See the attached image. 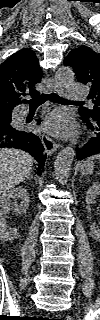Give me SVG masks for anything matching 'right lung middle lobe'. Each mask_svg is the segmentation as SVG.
<instances>
[{"instance_id": "dd1d6c3e", "label": "right lung middle lobe", "mask_w": 100, "mask_h": 320, "mask_svg": "<svg viewBox=\"0 0 100 320\" xmlns=\"http://www.w3.org/2000/svg\"><path fill=\"white\" fill-rule=\"evenodd\" d=\"M10 120L11 119L0 120V129L2 126L9 124Z\"/></svg>"}]
</instances>
